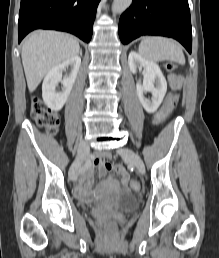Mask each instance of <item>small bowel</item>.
Here are the masks:
<instances>
[{"mask_svg":"<svg viewBox=\"0 0 219 258\" xmlns=\"http://www.w3.org/2000/svg\"><path fill=\"white\" fill-rule=\"evenodd\" d=\"M169 83L172 87L179 89L181 85H183V77L181 75H176V74H171L168 76ZM174 101H179L180 97L179 96H174L173 97ZM176 103V102H174ZM107 156L105 155H100V156H95L93 158V163L95 166L99 168V173L101 175H104L109 169V167H114L115 163L114 162H106ZM125 167H115L114 171L116 172V176H120L121 178V184H128V179H131V174H127L125 171ZM94 179V171L91 169L87 173H85L79 180V183L77 185V193L84 197L88 195V190L87 186L92 183Z\"/></svg>","mask_w":219,"mask_h":258,"instance_id":"c3829d8e","label":"small bowel"}]
</instances>
